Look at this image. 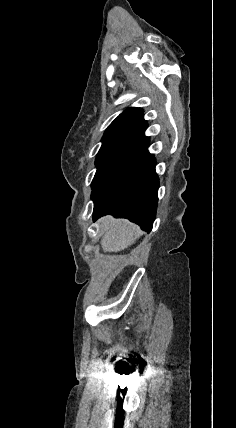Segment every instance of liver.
Returning a JSON list of instances; mask_svg holds the SVG:
<instances>
[{
  "label": "liver",
  "instance_id": "1",
  "mask_svg": "<svg viewBox=\"0 0 236 428\" xmlns=\"http://www.w3.org/2000/svg\"><path fill=\"white\" fill-rule=\"evenodd\" d=\"M100 226L103 232L101 240L103 252H121L132 246L136 236L140 234L135 224H131L128 220H113L110 216L102 218Z\"/></svg>",
  "mask_w": 236,
  "mask_h": 428
}]
</instances>
